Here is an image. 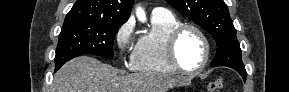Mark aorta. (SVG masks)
<instances>
[{"label": "aorta", "mask_w": 289, "mask_h": 92, "mask_svg": "<svg viewBox=\"0 0 289 92\" xmlns=\"http://www.w3.org/2000/svg\"><path fill=\"white\" fill-rule=\"evenodd\" d=\"M136 15H137V17H138L139 20H141V21H144V20H145V13H144V11H143L140 7H138V8L136 9Z\"/></svg>", "instance_id": "762f6f07"}]
</instances>
